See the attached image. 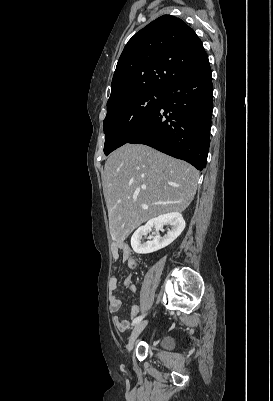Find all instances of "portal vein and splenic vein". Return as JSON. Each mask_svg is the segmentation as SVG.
I'll use <instances>...</instances> for the list:
<instances>
[{"instance_id": "portal-vein-and-splenic-vein-1", "label": "portal vein and splenic vein", "mask_w": 273, "mask_h": 401, "mask_svg": "<svg viewBox=\"0 0 273 401\" xmlns=\"http://www.w3.org/2000/svg\"><path fill=\"white\" fill-rule=\"evenodd\" d=\"M168 184H173V182H168ZM142 209H148V205H141Z\"/></svg>"}]
</instances>
